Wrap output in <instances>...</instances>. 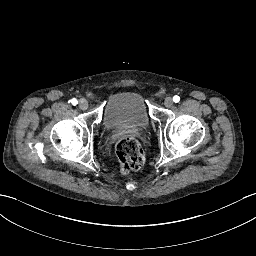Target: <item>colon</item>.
<instances>
[{"label":"colon","instance_id":"1","mask_svg":"<svg viewBox=\"0 0 256 256\" xmlns=\"http://www.w3.org/2000/svg\"><path fill=\"white\" fill-rule=\"evenodd\" d=\"M116 154L119 159L115 175L128 174L138 170L144 163V153L137 140L125 137L118 141Z\"/></svg>","mask_w":256,"mask_h":256}]
</instances>
